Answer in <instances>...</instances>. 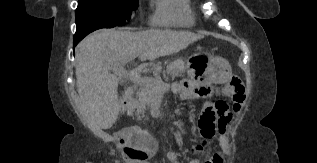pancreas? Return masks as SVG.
<instances>
[{
    "mask_svg": "<svg viewBox=\"0 0 317 163\" xmlns=\"http://www.w3.org/2000/svg\"><path fill=\"white\" fill-rule=\"evenodd\" d=\"M160 66L159 63H153L152 68L154 69V77H147L148 81L158 80L157 68ZM186 71L185 62L181 58H177L174 61L170 62L167 66V72L171 77H178L184 74ZM157 94V90L151 84H141L139 90L137 91V100H135L132 105L128 108V113L130 115L137 116L138 119H141L145 114V111L149 108L150 104L154 100ZM142 115V116H141Z\"/></svg>",
    "mask_w": 317,
    "mask_h": 163,
    "instance_id": "cf45deb5",
    "label": "pancreas"
}]
</instances>
